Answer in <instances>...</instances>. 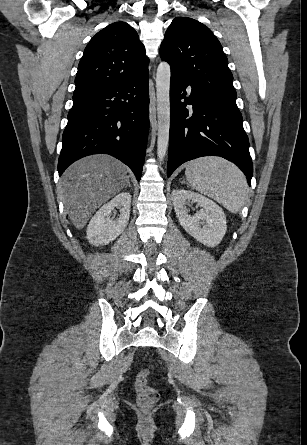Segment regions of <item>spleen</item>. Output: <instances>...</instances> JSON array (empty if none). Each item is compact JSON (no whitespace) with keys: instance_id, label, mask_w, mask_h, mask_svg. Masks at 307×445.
Here are the masks:
<instances>
[{"instance_id":"obj_1","label":"spleen","mask_w":307,"mask_h":445,"mask_svg":"<svg viewBox=\"0 0 307 445\" xmlns=\"http://www.w3.org/2000/svg\"><path fill=\"white\" fill-rule=\"evenodd\" d=\"M185 176L192 188L217 200L230 212H238L246 196V178L233 162L220 156H202L187 162Z\"/></svg>"}]
</instances>
